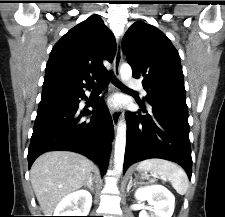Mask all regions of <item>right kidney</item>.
Segmentation results:
<instances>
[{
	"mask_svg": "<svg viewBox=\"0 0 225 217\" xmlns=\"http://www.w3.org/2000/svg\"><path fill=\"white\" fill-rule=\"evenodd\" d=\"M92 205V196L86 190L67 195L56 207L54 216H87Z\"/></svg>",
	"mask_w": 225,
	"mask_h": 217,
	"instance_id": "obj_1",
	"label": "right kidney"
}]
</instances>
